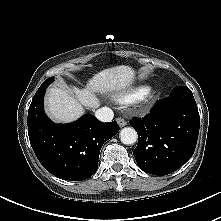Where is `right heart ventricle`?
<instances>
[{
	"instance_id": "e07e8e85",
	"label": "right heart ventricle",
	"mask_w": 221,
	"mask_h": 221,
	"mask_svg": "<svg viewBox=\"0 0 221 221\" xmlns=\"http://www.w3.org/2000/svg\"><path fill=\"white\" fill-rule=\"evenodd\" d=\"M146 91L144 87L131 89L114 95L113 100L119 104L128 105L141 98Z\"/></svg>"
}]
</instances>
